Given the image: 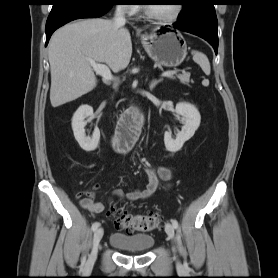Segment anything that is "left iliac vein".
<instances>
[{"instance_id": "obj_1", "label": "left iliac vein", "mask_w": 278, "mask_h": 278, "mask_svg": "<svg viewBox=\"0 0 278 278\" xmlns=\"http://www.w3.org/2000/svg\"><path fill=\"white\" fill-rule=\"evenodd\" d=\"M165 232L171 240L174 239V226L171 223H166Z\"/></svg>"}]
</instances>
